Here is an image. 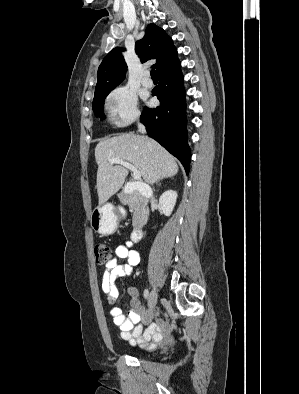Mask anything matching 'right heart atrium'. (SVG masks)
Masks as SVG:
<instances>
[{
	"instance_id": "obj_1",
	"label": "right heart atrium",
	"mask_w": 299,
	"mask_h": 394,
	"mask_svg": "<svg viewBox=\"0 0 299 394\" xmlns=\"http://www.w3.org/2000/svg\"><path fill=\"white\" fill-rule=\"evenodd\" d=\"M107 108L118 127L128 126L140 117L137 96L127 86H118L109 94Z\"/></svg>"
}]
</instances>
